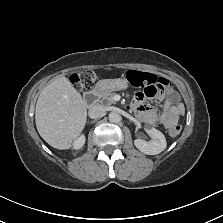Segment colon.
<instances>
[{
	"mask_svg": "<svg viewBox=\"0 0 223 223\" xmlns=\"http://www.w3.org/2000/svg\"><path fill=\"white\" fill-rule=\"evenodd\" d=\"M96 77L97 75L94 71L85 70L72 74L70 76V82L76 89L84 90L93 85ZM127 77L134 86L149 89L153 94L163 92L166 88V82L162 78L151 73L131 70L127 73ZM181 130L182 127L180 125H175L169 129V134L171 136H177L180 134Z\"/></svg>",
	"mask_w": 223,
	"mask_h": 223,
	"instance_id": "5ec220e1",
	"label": "colon"
}]
</instances>
